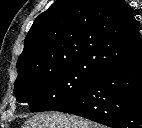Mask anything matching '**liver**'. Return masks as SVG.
Segmentation results:
<instances>
[{"label": "liver", "instance_id": "1", "mask_svg": "<svg viewBox=\"0 0 142 128\" xmlns=\"http://www.w3.org/2000/svg\"><path fill=\"white\" fill-rule=\"evenodd\" d=\"M22 128H101L91 121L75 115L58 112L35 114L26 120Z\"/></svg>", "mask_w": 142, "mask_h": 128}]
</instances>
